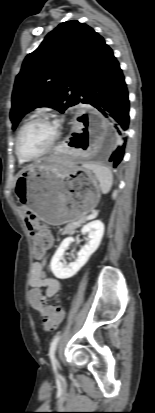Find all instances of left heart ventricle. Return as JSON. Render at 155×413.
Here are the masks:
<instances>
[{"instance_id":"b2bd125f","label":"left heart ventricle","mask_w":155,"mask_h":413,"mask_svg":"<svg viewBox=\"0 0 155 413\" xmlns=\"http://www.w3.org/2000/svg\"><path fill=\"white\" fill-rule=\"evenodd\" d=\"M55 127L49 121L39 120L28 125L21 137V150L26 155H35L43 151L52 141Z\"/></svg>"}]
</instances>
